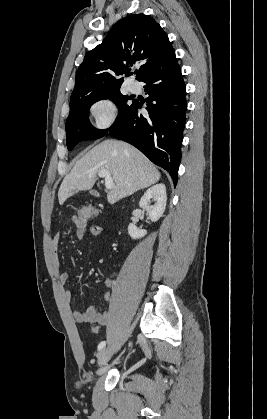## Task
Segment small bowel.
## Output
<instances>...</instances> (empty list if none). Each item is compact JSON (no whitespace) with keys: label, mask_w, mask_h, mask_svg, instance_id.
<instances>
[{"label":"small bowel","mask_w":267,"mask_h":419,"mask_svg":"<svg viewBox=\"0 0 267 419\" xmlns=\"http://www.w3.org/2000/svg\"><path fill=\"white\" fill-rule=\"evenodd\" d=\"M73 220L76 224V229L74 231L75 236L82 240L87 237L99 236L103 233V229L97 225H88V222L80 224L77 222V217L73 216ZM62 238V233H57L51 241L52 253L54 258V266L59 270V260H58V246ZM69 275L66 272L58 274L59 282L64 285L67 283ZM114 280L111 278H106L104 280V285L108 289L103 294V299L105 301H110L112 298V288L114 287ZM64 296L67 300H71L72 294L70 291H65ZM73 318L78 323H93L99 326L107 324L109 320V312L107 310L99 311L95 306H90L84 311H73Z\"/></svg>","instance_id":"small-bowel-1"}]
</instances>
